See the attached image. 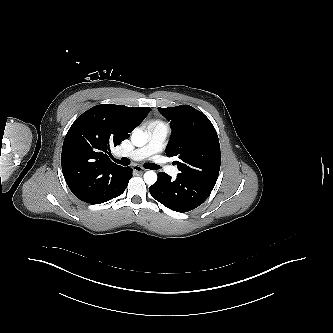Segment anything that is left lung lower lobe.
<instances>
[{
	"label": "left lung lower lobe",
	"mask_w": 333,
	"mask_h": 333,
	"mask_svg": "<svg viewBox=\"0 0 333 333\" xmlns=\"http://www.w3.org/2000/svg\"><path fill=\"white\" fill-rule=\"evenodd\" d=\"M214 185L177 176L175 180L164 173H158L157 182L149 190L154 199L165 207L188 212L200 206L210 195Z\"/></svg>",
	"instance_id": "left-lung-lower-lobe-1"
}]
</instances>
